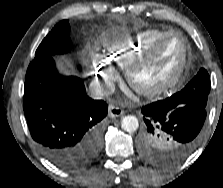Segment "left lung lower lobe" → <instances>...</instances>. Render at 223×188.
I'll use <instances>...</instances> for the list:
<instances>
[{"instance_id":"obj_1","label":"left lung lower lobe","mask_w":223,"mask_h":188,"mask_svg":"<svg viewBox=\"0 0 223 188\" xmlns=\"http://www.w3.org/2000/svg\"><path fill=\"white\" fill-rule=\"evenodd\" d=\"M142 114L146 131H161L175 144L173 154L178 162L197 147L206 109L161 100L144 106Z\"/></svg>"}]
</instances>
